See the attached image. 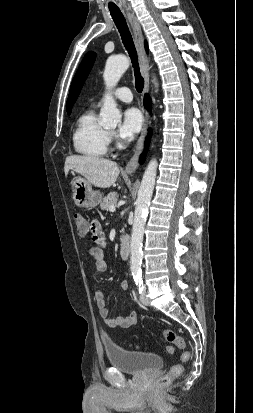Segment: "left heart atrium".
<instances>
[{"mask_svg":"<svg viewBox=\"0 0 253 413\" xmlns=\"http://www.w3.org/2000/svg\"><path fill=\"white\" fill-rule=\"evenodd\" d=\"M142 123L143 118L138 109L125 110L118 128L119 137L124 141L132 140L140 132Z\"/></svg>","mask_w":253,"mask_h":413,"instance_id":"1","label":"left heart atrium"}]
</instances>
